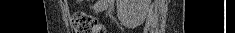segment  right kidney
<instances>
[{"mask_svg":"<svg viewBox=\"0 0 235 33\" xmlns=\"http://www.w3.org/2000/svg\"><path fill=\"white\" fill-rule=\"evenodd\" d=\"M150 0H120V17L126 21L142 20L149 7Z\"/></svg>","mask_w":235,"mask_h":33,"instance_id":"right-kidney-1","label":"right kidney"}]
</instances>
